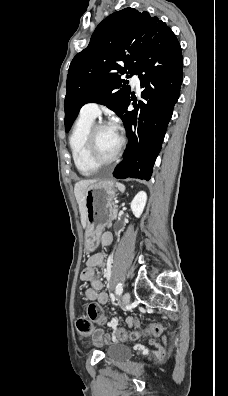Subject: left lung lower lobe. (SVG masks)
Masks as SVG:
<instances>
[{
    "mask_svg": "<svg viewBox=\"0 0 228 396\" xmlns=\"http://www.w3.org/2000/svg\"><path fill=\"white\" fill-rule=\"evenodd\" d=\"M183 59L180 44L171 29L155 37L147 49L144 62L138 71L143 101L134 110L122 116L129 142L124 159L115 168L113 176L120 179L149 180L178 100L182 83ZM143 73V74H142Z\"/></svg>",
    "mask_w": 228,
    "mask_h": 396,
    "instance_id": "1",
    "label": "left lung lower lobe"
}]
</instances>
